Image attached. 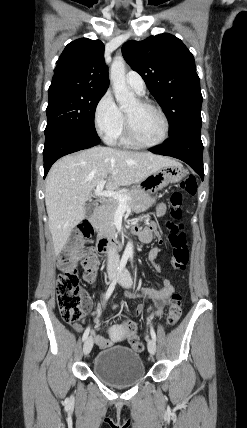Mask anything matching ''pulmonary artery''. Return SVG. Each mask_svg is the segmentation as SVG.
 <instances>
[{"label": "pulmonary artery", "mask_w": 247, "mask_h": 428, "mask_svg": "<svg viewBox=\"0 0 247 428\" xmlns=\"http://www.w3.org/2000/svg\"><path fill=\"white\" fill-rule=\"evenodd\" d=\"M126 83L128 87L137 94L145 92V82L143 78L135 71H129L126 75Z\"/></svg>", "instance_id": "obj_1"}]
</instances>
